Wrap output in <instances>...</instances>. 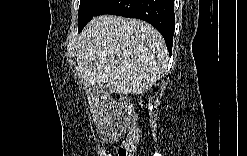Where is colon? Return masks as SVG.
Masks as SVG:
<instances>
[{"mask_svg":"<svg viewBox=\"0 0 247 156\" xmlns=\"http://www.w3.org/2000/svg\"><path fill=\"white\" fill-rule=\"evenodd\" d=\"M119 112L115 115V120L122 123L126 129V136L119 145L115 156L133 155L138 142V125L135 113L130 100L126 96H118Z\"/></svg>","mask_w":247,"mask_h":156,"instance_id":"obj_1","label":"colon"}]
</instances>
